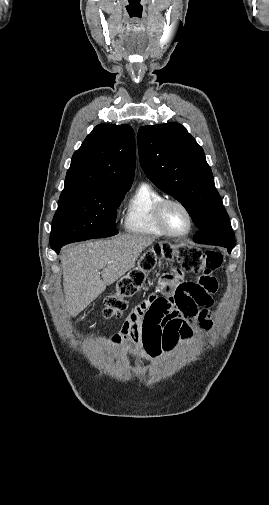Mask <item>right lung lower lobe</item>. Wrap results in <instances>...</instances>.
<instances>
[{
    "instance_id": "right-lung-lower-lobe-1",
    "label": "right lung lower lobe",
    "mask_w": 269,
    "mask_h": 505,
    "mask_svg": "<svg viewBox=\"0 0 269 505\" xmlns=\"http://www.w3.org/2000/svg\"><path fill=\"white\" fill-rule=\"evenodd\" d=\"M61 247H62V245H55V246H51V248H52L55 252H57V253H59V251H60V248H61Z\"/></svg>"
}]
</instances>
